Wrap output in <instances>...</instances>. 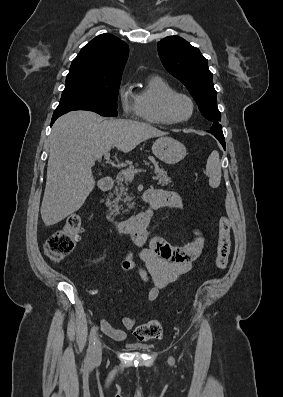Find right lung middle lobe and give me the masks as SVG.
<instances>
[{"label": "right lung middle lobe", "mask_w": 283, "mask_h": 397, "mask_svg": "<svg viewBox=\"0 0 283 397\" xmlns=\"http://www.w3.org/2000/svg\"><path fill=\"white\" fill-rule=\"evenodd\" d=\"M120 82L121 79L68 74L60 103L54 112L89 110L105 117H116Z\"/></svg>", "instance_id": "right-lung-middle-lobe-1"}]
</instances>
